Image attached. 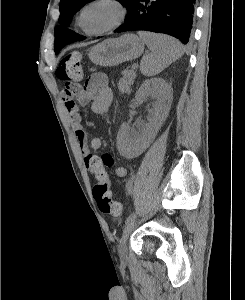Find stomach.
<instances>
[{
  "label": "stomach",
  "instance_id": "obj_1",
  "mask_svg": "<svg viewBox=\"0 0 245 300\" xmlns=\"http://www.w3.org/2000/svg\"><path fill=\"white\" fill-rule=\"evenodd\" d=\"M143 51L144 42L137 35L128 33L95 45L88 56L96 65L111 67L136 59Z\"/></svg>",
  "mask_w": 245,
  "mask_h": 300
}]
</instances>
